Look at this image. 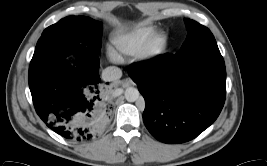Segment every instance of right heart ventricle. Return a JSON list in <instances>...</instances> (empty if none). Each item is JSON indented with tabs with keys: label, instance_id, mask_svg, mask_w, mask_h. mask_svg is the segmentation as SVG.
I'll list each match as a JSON object with an SVG mask.
<instances>
[{
	"label": "right heart ventricle",
	"instance_id": "1",
	"mask_svg": "<svg viewBox=\"0 0 267 166\" xmlns=\"http://www.w3.org/2000/svg\"><path fill=\"white\" fill-rule=\"evenodd\" d=\"M156 30L155 25L142 23L129 32L116 34L112 44L120 53L132 55L144 47Z\"/></svg>",
	"mask_w": 267,
	"mask_h": 166
}]
</instances>
